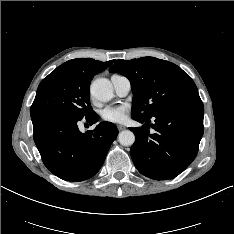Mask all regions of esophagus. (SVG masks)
Here are the masks:
<instances>
[{
	"instance_id": "obj_1",
	"label": "esophagus",
	"mask_w": 234,
	"mask_h": 234,
	"mask_svg": "<svg viewBox=\"0 0 234 234\" xmlns=\"http://www.w3.org/2000/svg\"><path fill=\"white\" fill-rule=\"evenodd\" d=\"M117 128H118L119 131H122V130L126 129V127L123 126V125H118Z\"/></svg>"
}]
</instances>
